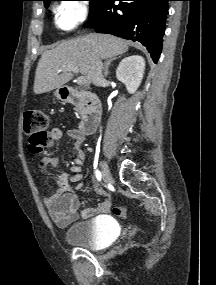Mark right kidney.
<instances>
[{
    "mask_svg": "<svg viewBox=\"0 0 216 285\" xmlns=\"http://www.w3.org/2000/svg\"><path fill=\"white\" fill-rule=\"evenodd\" d=\"M144 70V58L139 55H132L120 62L116 70V77L125 84L128 93L134 94L141 84Z\"/></svg>",
    "mask_w": 216,
    "mask_h": 285,
    "instance_id": "ca27d5eb",
    "label": "right kidney"
}]
</instances>
